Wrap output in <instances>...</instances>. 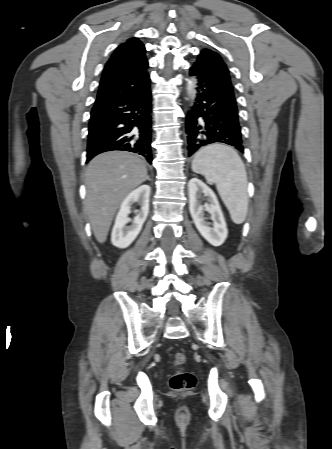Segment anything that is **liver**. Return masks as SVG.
Returning <instances> with one entry per match:
<instances>
[{
    "instance_id": "6515ba94",
    "label": "liver",
    "mask_w": 332,
    "mask_h": 449,
    "mask_svg": "<svg viewBox=\"0 0 332 449\" xmlns=\"http://www.w3.org/2000/svg\"><path fill=\"white\" fill-rule=\"evenodd\" d=\"M146 179L145 161L125 151L105 152L90 161L84 211L99 243L106 241L121 202Z\"/></svg>"
}]
</instances>
